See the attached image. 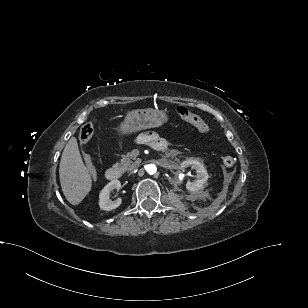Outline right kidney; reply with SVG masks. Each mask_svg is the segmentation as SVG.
<instances>
[{
    "instance_id": "obj_1",
    "label": "right kidney",
    "mask_w": 308,
    "mask_h": 308,
    "mask_svg": "<svg viewBox=\"0 0 308 308\" xmlns=\"http://www.w3.org/2000/svg\"><path fill=\"white\" fill-rule=\"evenodd\" d=\"M121 183L119 180H112L109 182L99 194V207L104 211H111L116 209L121 205L122 199L118 198L115 201L110 199V192L113 189H120Z\"/></svg>"
}]
</instances>
